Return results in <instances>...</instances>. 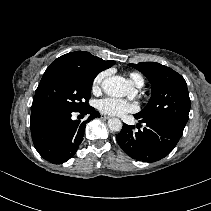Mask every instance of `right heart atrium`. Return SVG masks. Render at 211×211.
I'll return each instance as SVG.
<instances>
[{"mask_svg":"<svg viewBox=\"0 0 211 211\" xmlns=\"http://www.w3.org/2000/svg\"><path fill=\"white\" fill-rule=\"evenodd\" d=\"M107 72H101L98 75H96V77L94 78L93 82H92V90L93 91H98L102 85V82L104 80V78L106 77Z\"/></svg>","mask_w":211,"mask_h":211,"instance_id":"1","label":"right heart atrium"}]
</instances>
